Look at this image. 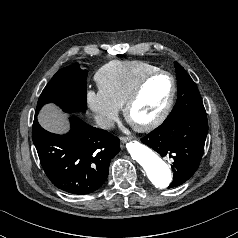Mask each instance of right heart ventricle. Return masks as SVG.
I'll return each instance as SVG.
<instances>
[{
  "instance_id": "obj_1",
  "label": "right heart ventricle",
  "mask_w": 238,
  "mask_h": 238,
  "mask_svg": "<svg viewBox=\"0 0 238 238\" xmlns=\"http://www.w3.org/2000/svg\"><path fill=\"white\" fill-rule=\"evenodd\" d=\"M158 68L142 61H111L95 74L99 91L118 108L123 107L137 83Z\"/></svg>"
}]
</instances>
